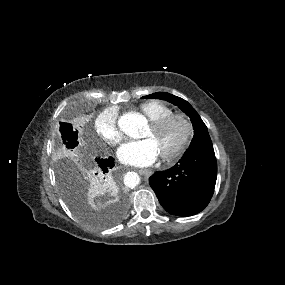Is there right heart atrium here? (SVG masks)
Segmentation results:
<instances>
[{
	"label": "right heart atrium",
	"mask_w": 285,
	"mask_h": 285,
	"mask_svg": "<svg viewBox=\"0 0 285 285\" xmlns=\"http://www.w3.org/2000/svg\"><path fill=\"white\" fill-rule=\"evenodd\" d=\"M94 131L103 143L110 146L118 145L123 139L117 114L113 110H105L95 118Z\"/></svg>",
	"instance_id": "d8ad5b80"
}]
</instances>
